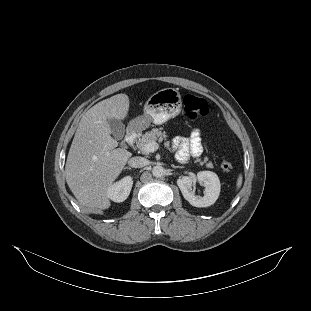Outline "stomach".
<instances>
[{
	"mask_svg": "<svg viewBox=\"0 0 311 311\" xmlns=\"http://www.w3.org/2000/svg\"><path fill=\"white\" fill-rule=\"evenodd\" d=\"M183 103L182 97L175 88H165L152 94L144 105V117L130 122V126L145 129L149 123L163 124L180 115Z\"/></svg>",
	"mask_w": 311,
	"mask_h": 311,
	"instance_id": "1",
	"label": "stomach"
}]
</instances>
